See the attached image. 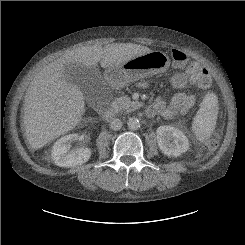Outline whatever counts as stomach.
Segmentation results:
<instances>
[{"instance_id":"0dacf381","label":"stomach","mask_w":245,"mask_h":245,"mask_svg":"<svg viewBox=\"0 0 245 245\" xmlns=\"http://www.w3.org/2000/svg\"><path fill=\"white\" fill-rule=\"evenodd\" d=\"M170 66L169 57L161 51H151L136 56L105 72V79L113 88H122L138 79L165 72Z\"/></svg>"}]
</instances>
